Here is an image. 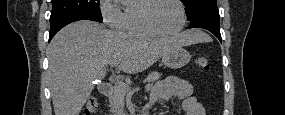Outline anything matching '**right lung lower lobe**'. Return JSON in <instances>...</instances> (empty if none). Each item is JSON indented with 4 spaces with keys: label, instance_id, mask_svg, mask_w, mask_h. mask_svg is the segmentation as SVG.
Instances as JSON below:
<instances>
[{
    "label": "right lung lower lobe",
    "instance_id": "1",
    "mask_svg": "<svg viewBox=\"0 0 285 115\" xmlns=\"http://www.w3.org/2000/svg\"><path fill=\"white\" fill-rule=\"evenodd\" d=\"M92 20L90 18H86V17H69V18H65L63 20H60L54 24L50 25V35H49V41L53 38V36L64 26L68 25L69 23H72L74 21H78V20ZM95 21V20H92ZM98 22V21H97ZM102 23V22H100Z\"/></svg>",
    "mask_w": 285,
    "mask_h": 115
}]
</instances>
